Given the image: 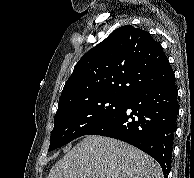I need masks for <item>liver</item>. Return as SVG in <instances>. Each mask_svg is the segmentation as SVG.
<instances>
[{
	"mask_svg": "<svg viewBox=\"0 0 194 178\" xmlns=\"http://www.w3.org/2000/svg\"><path fill=\"white\" fill-rule=\"evenodd\" d=\"M48 178H162V170L125 142L87 135L52 167Z\"/></svg>",
	"mask_w": 194,
	"mask_h": 178,
	"instance_id": "1",
	"label": "liver"
}]
</instances>
